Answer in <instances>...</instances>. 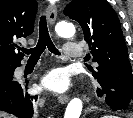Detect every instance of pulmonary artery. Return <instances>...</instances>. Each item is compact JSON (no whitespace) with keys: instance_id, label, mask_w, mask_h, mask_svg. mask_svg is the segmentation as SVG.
Returning <instances> with one entry per match:
<instances>
[{"instance_id":"e3ab8cb5","label":"pulmonary artery","mask_w":133,"mask_h":118,"mask_svg":"<svg viewBox=\"0 0 133 118\" xmlns=\"http://www.w3.org/2000/svg\"><path fill=\"white\" fill-rule=\"evenodd\" d=\"M64 56L67 58H80L82 57V49L79 45L75 43H66L63 47ZM23 67L20 66L16 73L20 74L22 72Z\"/></svg>"}]
</instances>
